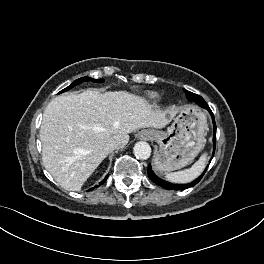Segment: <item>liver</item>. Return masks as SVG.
Wrapping results in <instances>:
<instances>
[{
    "label": "liver",
    "mask_w": 264,
    "mask_h": 264,
    "mask_svg": "<svg viewBox=\"0 0 264 264\" xmlns=\"http://www.w3.org/2000/svg\"><path fill=\"white\" fill-rule=\"evenodd\" d=\"M176 113L174 107L154 110L144 98L124 91L57 96L40 128L43 165L61 187L79 191L110 152L108 142L124 147L129 133L164 128Z\"/></svg>",
    "instance_id": "liver-1"
}]
</instances>
